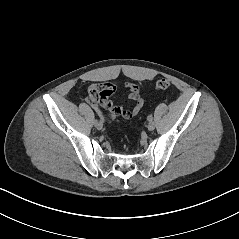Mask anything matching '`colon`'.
Returning a JSON list of instances; mask_svg holds the SVG:
<instances>
[{
    "label": "colon",
    "instance_id": "5ec220e1",
    "mask_svg": "<svg viewBox=\"0 0 239 239\" xmlns=\"http://www.w3.org/2000/svg\"><path fill=\"white\" fill-rule=\"evenodd\" d=\"M170 82L167 79H159L158 81H156L154 88L157 91H161V90H166L170 87Z\"/></svg>",
    "mask_w": 239,
    "mask_h": 239
}]
</instances>
